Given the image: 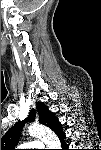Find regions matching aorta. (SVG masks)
Listing matches in <instances>:
<instances>
[{"label": "aorta", "mask_w": 101, "mask_h": 150, "mask_svg": "<svg viewBox=\"0 0 101 150\" xmlns=\"http://www.w3.org/2000/svg\"><path fill=\"white\" fill-rule=\"evenodd\" d=\"M30 136L40 138L49 149H58L60 147V141L58 137L48 127L34 124L28 128Z\"/></svg>", "instance_id": "762f6f07"}]
</instances>
